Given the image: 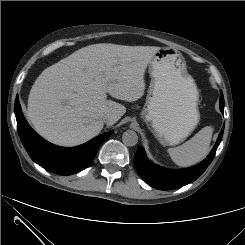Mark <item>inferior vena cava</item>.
<instances>
[{
	"instance_id": "602c4592",
	"label": "inferior vena cava",
	"mask_w": 245,
	"mask_h": 245,
	"mask_svg": "<svg viewBox=\"0 0 245 245\" xmlns=\"http://www.w3.org/2000/svg\"><path fill=\"white\" fill-rule=\"evenodd\" d=\"M102 120H103V122H105V123H106V122H108V121L110 120V118H109V117H107V116H105V117H103V118H102Z\"/></svg>"
}]
</instances>
